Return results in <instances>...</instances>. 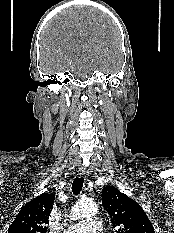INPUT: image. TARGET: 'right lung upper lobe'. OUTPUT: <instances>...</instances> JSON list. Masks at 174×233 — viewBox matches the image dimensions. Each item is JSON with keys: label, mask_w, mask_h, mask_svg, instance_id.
Instances as JSON below:
<instances>
[{"label": "right lung upper lobe", "mask_w": 174, "mask_h": 233, "mask_svg": "<svg viewBox=\"0 0 174 233\" xmlns=\"http://www.w3.org/2000/svg\"><path fill=\"white\" fill-rule=\"evenodd\" d=\"M55 195L43 193L21 208L8 233H46Z\"/></svg>", "instance_id": "cb5924a9"}]
</instances>
